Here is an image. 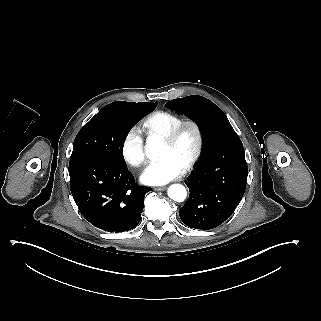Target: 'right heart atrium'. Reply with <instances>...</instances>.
Listing matches in <instances>:
<instances>
[{
  "label": "right heart atrium",
  "instance_id": "1",
  "mask_svg": "<svg viewBox=\"0 0 321 321\" xmlns=\"http://www.w3.org/2000/svg\"><path fill=\"white\" fill-rule=\"evenodd\" d=\"M120 151L122 159L131 166H139L145 161L144 138L139 126H132L126 131Z\"/></svg>",
  "mask_w": 321,
  "mask_h": 321
}]
</instances>
